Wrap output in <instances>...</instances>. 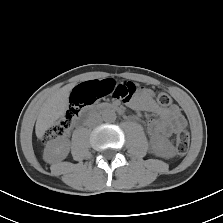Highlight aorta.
<instances>
[{
	"label": "aorta",
	"mask_w": 223,
	"mask_h": 223,
	"mask_svg": "<svg viewBox=\"0 0 223 223\" xmlns=\"http://www.w3.org/2000/svg\"><path fill=\"white\" fill-rule=\"evenodd\" d=\"M102 120L105 122H114L116 120V113L113 110H104L102 113Z\"/></svg>",
	"instance_id": "obj_1"
}]
</instances>
